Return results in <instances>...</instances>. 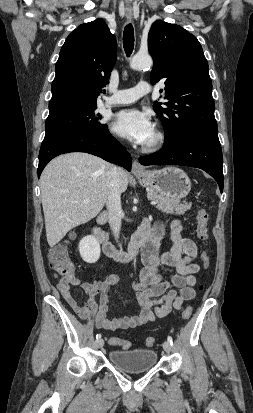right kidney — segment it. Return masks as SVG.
I'll use <instances>...</instances> for the list:
<instances>
[{
	"mask_svg": "<svg viewBox=\"0 0 253 413\" xmlns=\"http://www.w3.org/2000/svg\"><path fill=\"white\" fill-rule=\"evenodd\" d=\"M79 252L85 262L95 263L100 257V244L94 236L88 235L79 242Z\"/></svg>",
	"mask_w": 253,
	"mask_h": 413,
	"instance_id": "obj_1",
	"label": "right kidney"
}]
</instances>
